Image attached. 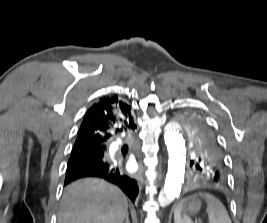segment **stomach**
I'll return each instance as SVG.
<instances>
[{"label":"stomach","mask_w":267,"mask_h":223,"mask_svg":"<svg viewBox=\"0 0 267 223\" xmlns=\"http://www.w3.org/2000/svg\"><path fill=\"white\" fill-rule=\"evenodd\" d=\"M201 201L197 197L189 198L183 205V210L186 214L193 215L199 212Z\"/></svg>","instance_id":"obj_1"}]
</instances>
